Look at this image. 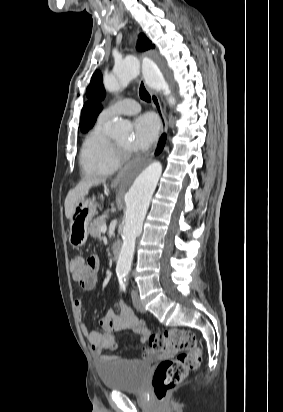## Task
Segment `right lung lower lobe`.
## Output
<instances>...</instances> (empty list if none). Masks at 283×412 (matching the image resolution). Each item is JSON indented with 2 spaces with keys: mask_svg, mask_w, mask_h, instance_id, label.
<instances>
[{
  "mask_svg": "<svg viewBox=\"0 0 283 412\" xmlns=\"http://www.w3.org/2000/svg\"><path fill=\"white\" fill-rule=\"evenodd\" d=\"M165 141H166V135L163 134V135L161 136L160 141H159L158 148H157V150H156V154H158V153H160V152L162 151V149H163V147H164V145H165Z\"/></svg>",
  "mask_w": 283,
  "mask_h": 412,
  "instance_id": "obj_1",
  "label": "right lung lower lobe"
}]
</instances>
